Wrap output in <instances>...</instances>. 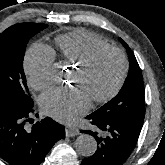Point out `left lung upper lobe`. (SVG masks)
Segmentation results:
<instances>
[{
  "label": "left lung upper lobe",
  "instance_id": "1",
  "mask_svg": "<svg viewBox=\"0 0 165 165\" xmlns=\"http://www.w3.org/2000/svg\"><path fill=\"white\" fill-rule=\"evenodd\" d=\"M120 41L128 53L129 74L120 92L112 100L88 116L99 120L118 121L142 127L145 116V90L141 69L132 50L121 38Z\"/></svg>",
  "mask_w": 165,
  "mask_h": 165
}]
</instances>
